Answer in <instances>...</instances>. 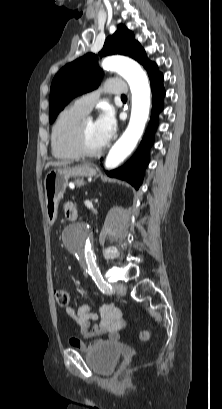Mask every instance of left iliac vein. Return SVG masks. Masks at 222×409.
Returning <instances> with one entry per match:
<instances>
[{"label": "left iliac vein", "instance_id": "obj_1", "mask_svg": "<svg viewBox=\"0 0 222 409\" xmlns=\"http://www.w3.org/2000/svg\"><path fill=\"white\" fill-rule=\"evenodd\" d=\"M114 291H115L116 294H118L120 296H124L126 294V288L121 283L114 284Z\"/></svg>", "mask_w": 222, "mask_h": 409}]
</instances>
